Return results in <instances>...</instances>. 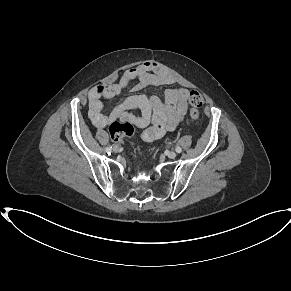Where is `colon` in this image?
Listing matches in <instances>:
<instances>
[{"label": "colon", "mask_w": 291, "mask_h": 291, "mask_svg": "<svg viewBox=\"0 0 291 291\" xmlns=\"http://www.w3.org/2000/svg\"><path fill=\"white\" fill-rule=\"evenodd\" d=\"M190 105V116L197 119L200 115L199 109L203 105V96L197 91H191L188 96ZM110 135L115 141L134 134V127L130 122L116 120L110 125Z\"/></svg>", "instance_id": "obj_1"}]
</instances>
